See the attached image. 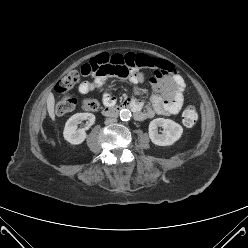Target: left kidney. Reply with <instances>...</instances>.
<instances>
[{
    "instance_id": "obj_1",
    "label": "left kidney",
    "mask_w": 248,
    "mask_h": 248,
    "mask_svg": "<svg viewBox=\"0 0 248 248\" xmlns=\"http://www.w3.org/2000/svg\"><path fill=\"white\" fill-rule=\"evenodd\" d=\"M158 127L164 129L162 134L158 133ZM182 133V126L170 119L156 118L149 124V137L158 146L172 145L179 140Z\"/></svg>"
}]
</instances>
